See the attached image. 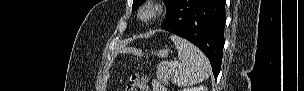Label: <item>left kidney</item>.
Instances as JSON below:
<instances>
[{"label":"left kidney","mask_w":304,"mask_h":91,"mask_svg":"<svg viewBox=\"0 0 304 91\" xmlns=\"http://www.w3.org/2000/svg\"><path fill=\"white\" fill-rule=\"evenodd\" d=\"M207 90L208 89L206 86H196V87H188L182 89V91H207Z\"/></svg>","instance_id":"1"}]
</instances>
